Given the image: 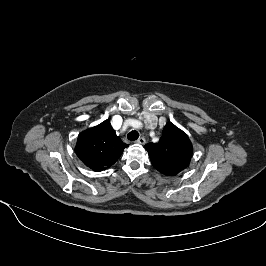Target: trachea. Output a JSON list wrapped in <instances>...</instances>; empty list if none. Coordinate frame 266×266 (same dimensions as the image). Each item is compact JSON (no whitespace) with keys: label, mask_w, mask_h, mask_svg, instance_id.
<instances>
[{"label":"trachea","mask_w":266,"mask_h":266,"mask_svg":"<svg viewBox=\"0 0 266 266\" xmlns=\"http://www.w3.org/2000/svg\"><path fill=\"white\" fill-rule=\"evenodd\" d=\"M139 137V133L135 130L131 131L130 133H128L127 135V138L130 140V141H134V140H137Z\"/></svg>","instance_id":"trachea-1"}]
</instances>
